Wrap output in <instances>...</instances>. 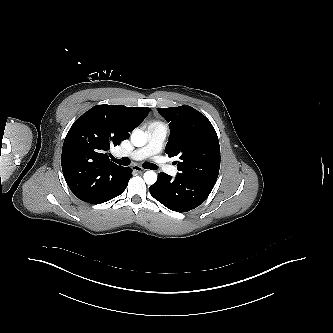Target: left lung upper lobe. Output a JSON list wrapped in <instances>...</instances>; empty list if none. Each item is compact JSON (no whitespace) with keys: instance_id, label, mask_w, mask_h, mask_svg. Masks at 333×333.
<instances>
[{"instance_id":"left-lung-upper-lobe-1","label":"left lung upper lobe","mask_w":333,"mask_h":333,"mask_svg":"<svg viewBox=\"0 0 333 333\" xmlns=\"http://www.w3.org/2000/svg\"><path fill=\"white\" fill-rule=\"evenodd\" d=\"M170 123L171 133L165 152L175 161L183 179L215 185L220 168V146L211 122L196 109L184 105L158 108Z\"/></svg>"}]
</instances>
